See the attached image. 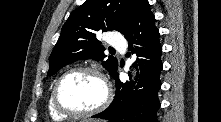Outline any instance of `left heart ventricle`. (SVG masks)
<instances>
[{
	"instance_id": "1",
	"label": "left heart ventricle",
	"mask_w": 221,
	"mask_h": 122,
	"mask_svg": "<svg viewBox=\"0 0 221 122\" xmlns=\"http://www.w3.org/2000/svg\"><path fill=\"white\" fill-rule=\"evenodd\" d=\"M104 93V85L98 77L89 73H78L63 82L60 100L70 109L85 111L99 105Z\"/></svg>"
}]
</instances>
